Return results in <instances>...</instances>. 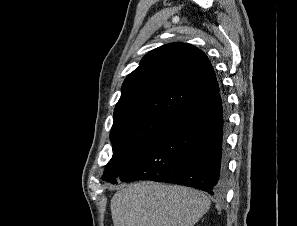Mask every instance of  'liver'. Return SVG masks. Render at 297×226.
I'll return each mask as SVG.
<instances>
[{
	"label": "liver",
	"mask_w": 297,
	"mask_h": 226,
	"mask_svg": "<svg viewBox=\"0 0 297 226\" xmlns=\"http://www.w3.org/2000/svg\"><path fill=\"white\" fill-rule=\"evenodd\" d=\"M110 207L114 226H193L210 200L195 189L147 181L117 191Z\"/></svg>",
	"instance_id": "obj_1"
}]
</instances>
